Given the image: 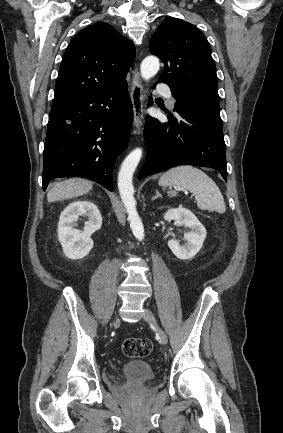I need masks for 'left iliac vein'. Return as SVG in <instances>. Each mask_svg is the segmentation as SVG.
<instances>
[{
    "label": "left iliac vein",
    "instance_id": "1",
    "mask_svg": "<svg viewBox=\"0 0 283 433\" xmlns=\"http://www.w3.org/2000/svg\"><path fill=\"white\" fill-rule=\"evenodd\" d=\"M143 317H144V319H145L146 322H148L150 325H152V326L155 328L156 333H157L158 336H159L160 342H161L163 345H166V344L168 343V337H167V334L165 333L164 330H162V329L158 326L157 321H156L155 316H154V314L152 313V311L149 310V309H146L145 312H144V314H143Z\"/></svg>",
    "mask_w": 283,
    "mask_h": 433
}]
</instances>
